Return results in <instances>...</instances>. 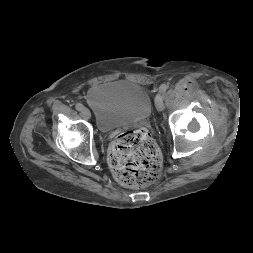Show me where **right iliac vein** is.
Returning a JSON list of instances; mask_svg holds the SVG:
<instances>
[{"mask_svg": "<svg viewBox=\"0 0 253 253\" xmlns=\"http://www.w3.org/2000/svg\"><path fill=\"white\" fill-rule=\"evenodd\" d=\"M81 115L87 119H89L91 117V113H90L89 109H87V108H83V110L81 111Z\"/></svg>", "mask_w": 253, "mask_h": 253, "instance_id": "obj_1", "label": "right iliac vein"}]
</instances>
